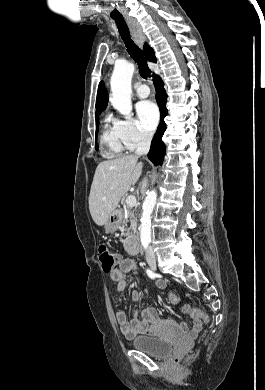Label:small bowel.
<instances>
[{"mask_svg": "<svg viewBox=\"0 0 265 390\" xmlns=\"http://www.w3.org/2000/svg\"><path fill=\"white\" fill-rule=\"evenodd\" d=\"M116 260L117 267L110 272V277L113 281L118 283V292H122L126 286V276L135 271L136 263L133 259L123 258L121 255H116ZM156 285L160 289L165 288V283L163 281H158ZM140 297L141 294L137 290L133 291L131 294V299L134 302L138 301ZM115 318L120 331L127 338L139 334L156 335L163 322L157 310L151 307L136 311L131 320H128L124 311L118 310ZM202 327L203 322L201 320L193 319L192 327L188 330V335L190 337H195L201 331ZM180 329L186 330L187 326L184 323H181Z\"/></svg>", "mask_w": 265, "mask_h": 390, "instance_id": "small-bowel-1", "label": "small bowel"}]
</instances>
